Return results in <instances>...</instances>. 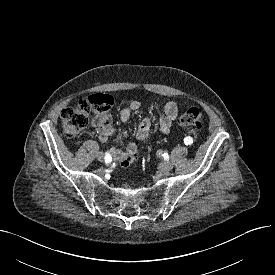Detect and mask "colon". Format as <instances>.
<instances>
[{"label": "colon", "instance_id": "5ec220e1", "mask_svg": "<svg viewBox=\"0 0 275 275\" xmlns=\"http://www.w3.org/2000/svg\"><path fill=\"white\" fill-rule=\"evenodd\" d=\"M112 104L113 101L110 96L96 94L80 101L74 107L64 109L61 114L64 135L67 138L78 136L88 124L91 116L95 122L105 121L108 119ZM179 124L182 127L201 128L203 124V111L197 107L189 108L180 117ZM133 160L125 162L122 165H129Z\"/></svg>", "mask_w": 275, "mask_h": 275}]
</instances>
